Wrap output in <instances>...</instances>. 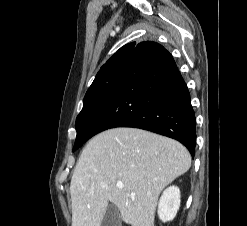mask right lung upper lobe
I'll list each match as a JSON object with an SVG mask.
<instances>
[{
    "label": "right lung upper lobe",
    "mask_w": 247,
    "mask_h": 226,
    "mask_svg": "<svg viewBox=\"0 0 247 226\" xmlns=\"http://www.w3.org/2000/svg\"><path fill=\"white\" fill-rule=\"evenodd\" d=\"M136 46V43H130L122 48H120L100 69V71L97 73V76L95 77L94 80H96L107 68L108 66L113 63L115 60L119 59L122 56L129 55L131 51L134 49Z\"/></svg>",
    "instance_id": "obj_1"
}]
</instances>
